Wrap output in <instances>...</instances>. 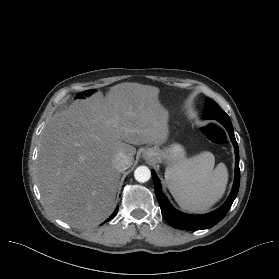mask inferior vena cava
Segmentation results:
<instances>
[{"label": "inferior vena cava", "instance_id": "obj_1", "mask_svg": "<svg viewBox=\"0 0 279 279\" xmlns=\"http://www.w3.org/2000/svg\"><path fill=\"white\" fill-rule=\"evenodd\" d=\"M115 169L119 172H122L128 169L131 165V159L124 153H118L113 161Z\"/></svg>", "mask_w": 279, "mask_h": 279}]
</instances>
